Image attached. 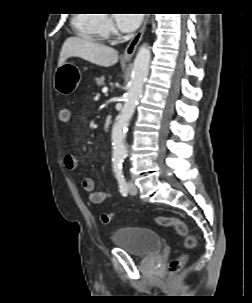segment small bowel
<instances>
[{
  "instance_id": "small-bowel-1",
  "label": "small bowel",
  "mask_w": 252,
  "mask_h": 303,
  "mask_svg": "<svg viewBox=\"0 0 252 303\" xmlns=\"http://www.w3.org/2000/svg\"><path fill=\"white\" fill-rule=\"evenodd\" d=\"M63 162L66 169L73 171L77 169L78 163L77 158L73 153H66L63 157ZM82 186L84 190L88 193V199L90 203L100 204L105 200L110 198V194L104 191H95L94 190V181L85 177L82 179Z\"/></svg>"
}]
</instances>
